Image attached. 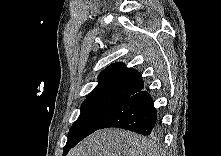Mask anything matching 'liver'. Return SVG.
I'll return each instance as SVG.
<instances>
[{
  "label": "liver",
  "mask_w": 221,
  "mask_h": 156,
  "mask_svg": "<svg viewBox=\"0 0 221 156\" xmlns=\"http://www.w3.org/2000/svg\"><path fill=\"white\" fill-rule=\"evenodd\" d=\"M152 140L123 129L99 130L80 142L68 156H159Z\"/></svg>",
  "instance_id": "6515ba94"
}]
</instances>
